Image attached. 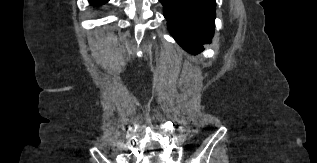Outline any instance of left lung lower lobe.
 Wrapping results in <instances>:
<instances>
[{
	"mask_svg": "<svg viewBox=\"0 0 317 163\" xmlns=\"http://www.w3.org/2000/svg\"><path fill=\"white\" fill-rule=\"evenodd\" d=\"M175 40L189 53L210 43L215 27V0H159Z\"/></svg>",
	"mask_w": 317,
	"mask_h": 163,
	"instance_id": "obj_1",
	"label": "left lung lower lobe"
}]
</instances>
